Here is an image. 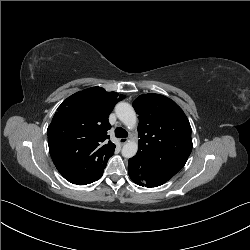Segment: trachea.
Masks as SVG:
<instances>
[{
    "label": "trachea",
    "mask_w": 250,
    "mask_h": 250,
    "mask_svg": "<svg viewBox=\"0 0 250 250\" xmlns=\"http://www.w3.org/2000/svg\"><path fill=\"white\" fill-rule=\"evenodd\" d=\"M115 136H116L117 138H125V137L128 136V133H127V131L124 130L123 128L117 127V128L115 129Z\"/></svg>",
    "instance_id": "1"
}]
</instances>
